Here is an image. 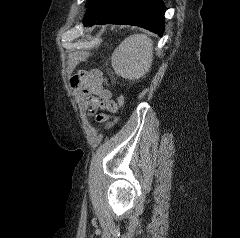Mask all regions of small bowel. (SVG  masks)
<instances>
[{
  "mask_svg": "<svg viewBox=\"0 0 240 238\" xmlns=\"http://www.w3.org/2000/svg\"><path fill=\"white\" fill-rule=\"evenodd\" d=\"M71 86L90 107V114L95 115L97 121L107 119L106 114H96L99 109L115 113L118 104L112 100L111 92L102 85L101 73L98 70L81 71L71 78Z\"/></svg>",
  "mask_w": 240,
  "mask_h": 238,
  "instance_id": "obj_1",
  "label": "small bowel"
}]
</instances>
